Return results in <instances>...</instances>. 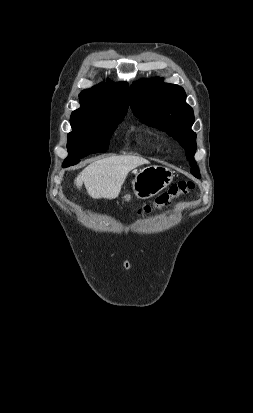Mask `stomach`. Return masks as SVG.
Returning <instances> with one entry per match:
<instances>
[{"instance_id": "stomach-1", "label": "stomach", "mask_w": 253, "mask_h": 413, "mask_svg": "<svg viewBox=\"0 0 253 413\" xmlns=\"http://www.w3.org/2000/svg\"><path fill=\"white\" fill-rule=\"evenodd\" d=\"M173 181V172L162 166H148L141 169L132 181V188L139 199H148L165 189ZM130 194L124 200L129 201Z\"/></svg>"}]
</instances>
